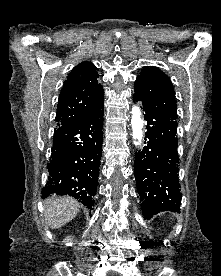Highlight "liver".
Listing matches in <instances>:
<instances>
[{
	"mask_svg": "<svg viewBox=\"0 0 221 276\" xmlns=\"http://www.w3.org/2000/svg\"><path fill=\"white\" fill-rule=\"evenodd\" d=\"M80 203L74 198L63 196L48 199L44 204V217L51 229H57L76 217Z\"/></svg>",
	"mask_w": 221,
	"mask_h": 276,
	"instance_id": "1",
	"label": "liver"
}]
</instances>
